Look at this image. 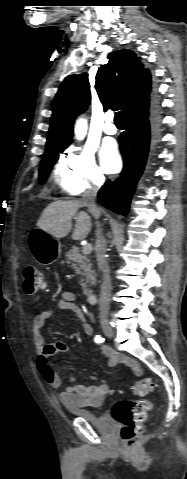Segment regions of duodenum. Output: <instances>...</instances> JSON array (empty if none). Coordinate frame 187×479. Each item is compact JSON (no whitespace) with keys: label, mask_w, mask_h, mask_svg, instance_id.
<instances>
[{"label":"duodenum","mask_w":187,"mask_h":479,"mask_svg":"<svg viewBox=\"0 0 187 479\" xmlns=\"http://www.w3.org/2000/svg\"><path fill=\"white\" fill-rule=\"evenodd\" d=\"M86 300L89 304H95L97 302V294L94 291H87Z\"/></svg>","instance_id":"410a0bca"}]
</instances>
